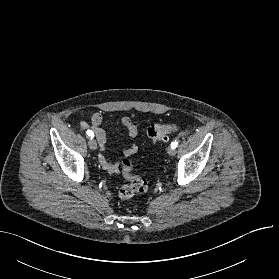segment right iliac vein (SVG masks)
<instances>
[{"label": "right iliac vein", "mask_w": 279, "mask_h": 279, "mask_svg": "<svg viewBox=\"0 0 279 279\" xmlns=\"http://www.w3.org/2000/svg\"><path fill=\"white\" fill-rule=\"evenodd\" d=\"M88 145H89V148L91 150H96L97 149V142L93 138L89 139Z\"/></svg>", "instance_id": "1"}]
</instances>
